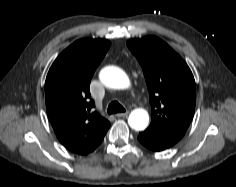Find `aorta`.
Returning <instances> with one entry per match:
<instances>
[{
	"instance_id": "obj_1",
	"label": "aorta",
	"mask_w": 236,
	"mask_h": 187,
	"mask_svg": "<svg viewBox=\"0 0 236 187\" xmlns=\"http://www.w3.org/2000/svg\"><path fill=\"white\" fill-rule=\"evenodd\" d=\"M100 81L111 89H128L131 86L127 74L116 66L104 67L99 73ZM149 123V115L145 109L133 110L128 117L129 126L137 131L146 129Z\"/></svg>"
}]
</instances>
